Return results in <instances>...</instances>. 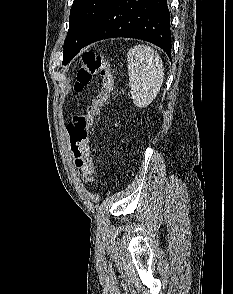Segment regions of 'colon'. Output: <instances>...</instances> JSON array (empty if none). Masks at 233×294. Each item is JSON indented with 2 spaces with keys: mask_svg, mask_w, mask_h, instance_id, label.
<instances>
[{
  "mask_svg": "<svg viewBox=\"0 0 233 294\" xmlns=\"http://www.w3.org/2000/svg\"><path fill=\"white\" fill-rule=\"evenodd\" d=\"M93 78H98L101 81L97 93L89 99L83 111L73 116L67 127L75 167L89 184L94 182V166L89 146L90 130L102 108L115 91L116 85L115 76L105 57L94 51H87L82 56V62L77 72L75 91L80 92Z\"/></svg>",
  "mask_w": 233,
  "mask_h": 294,
  "instance_id": "obj_1",
  "label": "colon"
}]
</instances>
